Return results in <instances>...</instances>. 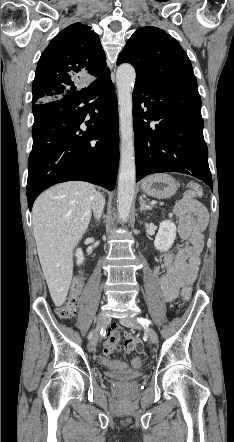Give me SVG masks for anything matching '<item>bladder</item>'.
<instances>
[{
    "instance_id": "1",
    "label": "bladder",
    "mask_w": 234,
    "mask_h": 442,
    "mask_svg": "<svg viewBox=\"0 0 234 442\" xmlns=\"http://www.w3.org/2000/svg\"><path fill=\"white\" fill-rule=\"evenodd\" d=\"M108 376L119 381H130L141 378L143 376V373L132 368H121L111 370L108 373Z\"/></svg>"
}]
</instances>
